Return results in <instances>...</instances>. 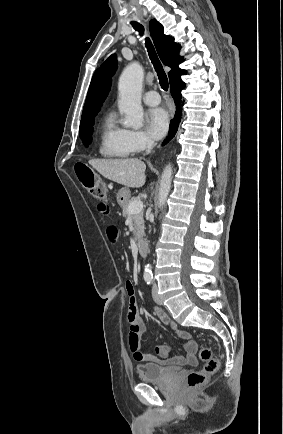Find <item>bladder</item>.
Listing matches in <instances>:
<instances>
[{
	"instance_id": "obj_1",
	"label": "bladder",
	"mask_w": 283,
	"mask_h": 434,
	"mask_svg": "<svg viewBox=\"0 0 283 434\" xmlns=\"http://www.w3.org/2000/svg\"><path fill=\"white\" fill-rule=\"evenodd\" d=\"M178 374V369L146 364L139 370V377L144 382H162Z\"/></svg>"
}]
</instances>
